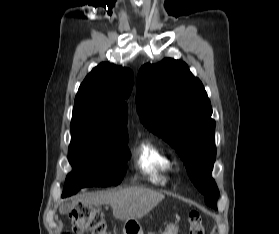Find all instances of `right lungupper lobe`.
I'll return each instance as SVG.
<instances>
[{"instance_id": "cb5924a9", "label": "right lung upper lobe", "mask_w": 279, "mask_h": 234, "mask_svg": "<svg viewBox=\"0 0 279 234\" xmlns=\"http://www.w3.org/2000/svg\"><path fill=\"white\" fill-rule=\"evenodd\" d=\"M133 82L130 69L101 63L80 85L71 123L84 124L98 137H128L125 99Z\"/></svg>"}]
</instances>
